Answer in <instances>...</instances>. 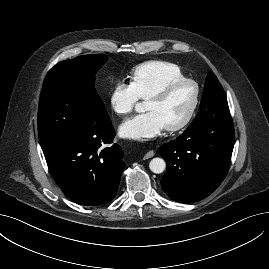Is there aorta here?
<instances>
[{"label":"aorta","mask_w":269,"mask_h":269,"mask_svg":"<svg viewBox=\"0 0 269 269\" xmlns=\"http://www.w3.org/2000/svg\"><path fill=\"white\" fill-rule=\"evenodd\" d=\"M136 109L139 110V105L136 106ZM149 168L153 173L160 174L166 168V163L162 158H153L149 163Z\"/></svg>","instance_id":"obj_1"}]
</instances>
